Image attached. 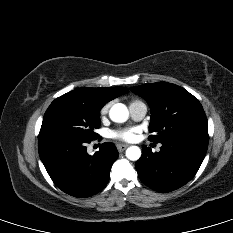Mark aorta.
Instances as JSON below:
<instances>
[{"instance_id":"762f6f07","label":"aorta","mask_w":233,"mask_h":233,"mask_svg":"<svg viewBox=\"0 0 233 233\" xmlns=\"http://www.w3.org/2000/svg\"><path fill=\"white\" fill-rule=\"evenodd\" d=\"M110 119L117 123H123L127 121L129 117V111L127 107L122 103L114 104L109 111ZM126 157L129 160L137 161L141 157V150L138 146H130L126 150Z\"/></svg>"}]
</instances>
